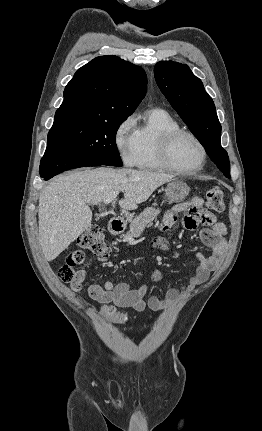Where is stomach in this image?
I'll use <instances>...</instances> for the list:
<instances>
[{"label":"stomach","mask_w":262,"mask_h":431,"mask_svg":"<svg viewBox=\"0 0 262 431\" xmlns=\"http://www.w3.org/2000/svg\"><path fill=\"white\" fill-rule=\"evenodd\" d=\"M190 192L189 186L180 180L173 179L167 184L165 196L171 202H181L185 200Z\"/></svg>","instance_id":"0dacf381"}]
</instances>
